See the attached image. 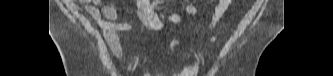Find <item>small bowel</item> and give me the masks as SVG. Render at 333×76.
I'll use <instances>...</instances> for the list:
<instances>
[{
    "mask_svg": "<svg viewBox=\"0 0 333 76\" xmlns=\"http://www.w3.org/2000/svg\"><path fill=\"white\" fill-rule=\"evenodd\" d=\"M78 3V1H70ZM84 5V11L98 24L104 34L105 42L110 51L116 56L122 55V46L119 37V31L129 30L131 26L128 23L120 21V13L116 9L113 2L104 3L101 0H82L79 1ZM150 0H136L134 14L152 31H159L163 28V22L169 21L174 24L182 23V18L175 13L163 14L158 8V3ZM184 10L196 16L197 8L188 1H181ZM232 5L231 0H219L215 8V14L209 26L210 30L216 28L225 12ZM216 37L212 36L211 41H215ZM181 45L179 40L171 42V50L176 54V49Z\"/></svg>",
    "mask_w": 333,
    "mask_h": 76,
    "instance_id": "c3829d8e",
    "label": "small bowel"
}]
</instances>
